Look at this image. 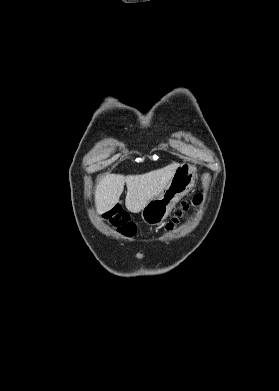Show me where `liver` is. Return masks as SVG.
<instances>
[{
	"label": "liver",
	"mask_w": 279,
	"mask_h": 391,
	"mask_svg": "<svg viewBox=\"0 0 279 391\" xmlns=\"http://www.w3.org/2000/svg\"><path fill=\"white\" fill-rule=\"evenodd\" d=\"M179 166V163H173L142 175L104 176L95 191L97 211L103 213L112 209L119 202L126 184V208L133 213L140 212L152 198L165 189Z\"/></svg>",
	"instance_id": "liver-1"
}]
</instances>
